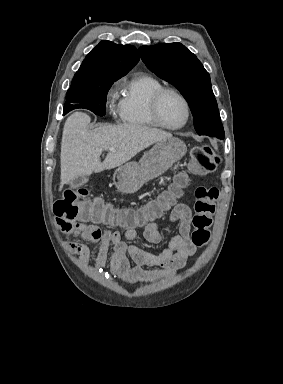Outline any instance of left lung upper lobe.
I'll use <instances>...</instances> for the list:
<instances>
[{"mask_svg":"<svg viewBox=\"0 0 283 384\" xmlns=\"http://www.w3.org/2000/svg\"><path fill=\"white\" fill-rule=\"evenodd\" d=\"M139 53L152 72L174 85L185 97L197 133L223 139V125L210 76L197 57L180 43L142 46Z\"/></svg>","mask_w":283,"mask_h":384,"instance_id":"1","label":"left lung upper lobe"}]
</instances>
